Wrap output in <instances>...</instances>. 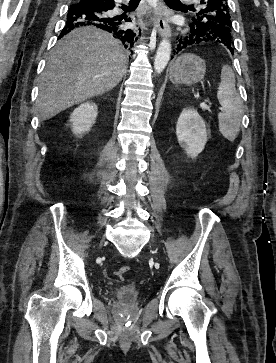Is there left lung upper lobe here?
<instances>
[{
	"label": "left lung upper lobe",
	"instance_id": "5c2ea615",
	"mask_svg": "<svg viewBox=\"0 0 276 363\" xmlns=\"http://www.w3.org/2000/svg\"><path fill=\"white\" fill-rule=\"evenodd\" d=\"M203 9L197 18H192V26L203 28L204 32L210 33L212 41L224 44L228 49L231 47V28L229 7L226 0H201Z\"/></svg>",
	"mask_w": 276,
	"mask_h": 363
}]
</instances>
